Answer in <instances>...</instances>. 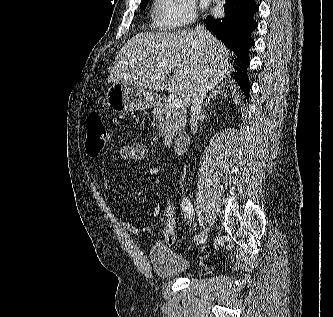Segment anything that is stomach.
<instances>
[{"label": "stomach", "mask_w": 333, "mask_h": 317, "mask_svg": "<svg viewBox=\"0 0 333 317\" xmlns=\"http://www.w3.org/2000/svg\"><path fill=\"white\" fill-rule=\"evenodd\" d=\"M107 101L118 112L145 110L156 104L152 93L129 80L114 82L108 89Z\"/></svg>", "instance_id": "0dacf381"}]
</instances>
